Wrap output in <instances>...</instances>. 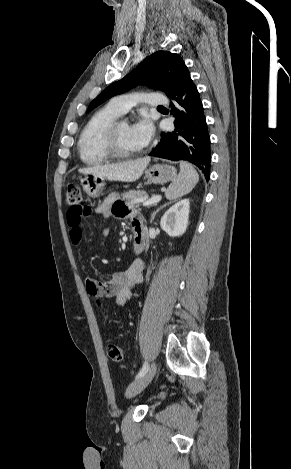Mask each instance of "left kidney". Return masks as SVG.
I'll use <instances>...</instances> for the list:
<instances>
[{"mask_svg":"<svg viewBox=\"0 0 291 469\" xmlns=\"http://www.w3.org/2000/svg\"><path fill=\"white\" fill-rule=\"evenodd\" d=\"M189 199H183L171 206L161 218V228L172 237L183 235L188 226Z\"/></svg>","mask_w":291,"mask_h":469,"instance_id":"5707ae66","label":"left kidney"}]
</instances>
